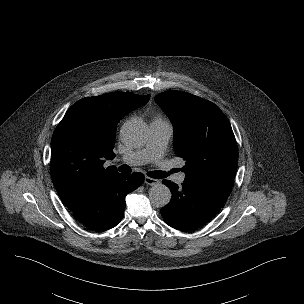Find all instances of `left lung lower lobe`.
<instances>
[{
  "instance_id": "0a47b994",
  "label": "left lung lower lobe",
  "mask_w": 304,
  "mask_h": 304,
  "mask_svg": "<svg viewBox=\"0 0 304 304\" xmlns=\"http://www.w3.org/2000/svg\"><path fill=\"white\" fill-rule=\"evenodd\" d=\"M172 193L171 201L161 209L164 221L171 227L191 231L207 223L220 210L226 198L183 183L181 187L163 182Z\"/></svg>"
}]
</instances>
